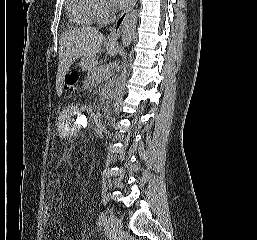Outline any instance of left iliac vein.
I'll return each mask as SVG.
<instances>
[{"mask_svg":"<svg viewBox=\"0 0 257 240\" xmlns=\"http://www.w3.org/2000/svg\"><path fill=\"white\" fill-rule=\"evenodd\" d=\"M108 226H109V231L112 236L119 235L122 230L121 220L113 213H110V215L108 217Z\"/></svg>","mask_w":257,"mask_h":240,"instance_id":"obj_1","label":"left iliac vein"}]
</instances>
